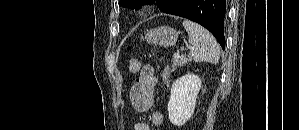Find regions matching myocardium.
I'll return each instance as SVG.
<instances>
[{"label":"myocardium","mask_w":299,"mask_h":130,"mask_svg":"<svg viewBox=\"0 0 299 130\" xmlns=\"http://www.w3.org/2000/svg\"><path fill=\"white\" fill-rule=\"evenodd\" d=\"M149 11V8L147 6H139L137 8H134L132 10V14L135 16H143Z\"/></svg>","instance_id":"f54148a6"}]
</instances>
